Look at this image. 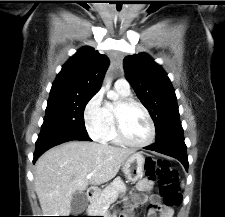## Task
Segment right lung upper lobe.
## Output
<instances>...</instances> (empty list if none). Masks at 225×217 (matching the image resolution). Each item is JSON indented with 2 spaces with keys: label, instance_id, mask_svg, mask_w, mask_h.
<instances>
[{
  "label": "right lung upper lobe",
  "instance_id": "right-lung-upper-lobe-1",
  "mask_svg": "<svg viewBox=\"0 0 225 217\" xmlns=\"http://www.w3.org/2000/svg\"><path fill=\"white\" fill-rule=\"evenodd\" d=\"M109 60L91 47H83L62 67L50 94L95 95L108 68Z\"/></svg>",
  "mask_w": 225,
  "mask_h": 217
}]
</instances>
